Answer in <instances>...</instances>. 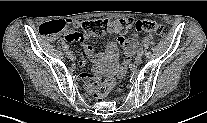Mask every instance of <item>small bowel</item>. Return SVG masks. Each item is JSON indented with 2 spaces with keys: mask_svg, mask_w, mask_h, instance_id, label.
<instances>
[{
  "mask_svg": "<svg viewBox=\"0 0 207 123\" xmlns=\"http://www.w3.org/2000/svg\"><path fill=\"white\" fill-rule=\"evenodd\" d=\"M109 32L122 33L121 28L116 24V20L113 21V24H112ZM62 33H63L66 40H68L70 42H78L85 50L88 57L98 58L100 60L107 61L111 65V67L120 75L124 73L127 64L129 63L132 55L134 54V52L138 46L136 36H133L131 38H126L124 36H121L120 38H122V42H120V43H121L123 50H124V60H123V63L121 66H117L116 62H117V58H118V46L115 42H113V41L107 42L106 55L103 56V55L95 52V50L93 49V47L91 45L85 43V38H86L85 36L73 37L74 33L69 28L68 23L64 22V27L62 29ZM85 64H86L85 60H81L79 62V65L81 67L85 66Z\"/></svg>",
  "mask_w": 207,
  "mask_h": 123,
  "instance_id": "small-bowel-1",
  "label": "small bowel"
}]
</instances>
